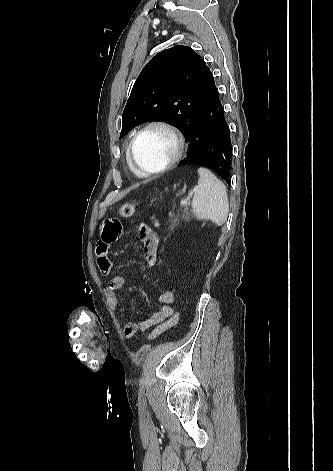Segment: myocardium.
<instances>
[{
    "label": "myocardium",
    "instance_id": "obj_1",
    "mask_svg": "<svg viewBox=\"0 0 333 471\" xmlns=\"http://www.w3.org/2000/svg\"><path fill=\"white\" fill-rule=\"evenodd\" d=\"M152 128H161L169 132L175 142V152L173 156L165 163L162 167L155 169V170H147L142 168L135 160L134 156V148L135 145L140 138V136ZM185 149V138L182 132L173 124L165 120H152L145 125H143L132 137L129 146H128V162L131 167L140 173L143 176H153L157 174L164 173L165 171L169 170L173 167L182 157Z\"/></svg>",
    "mask_w": 333,
    "mask_h": 471
}]
</instances>
